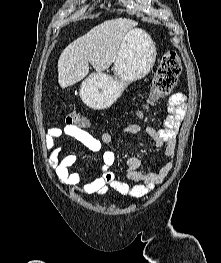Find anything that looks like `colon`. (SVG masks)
I'll list each match as a JSON object with an SVG mask.
<instances>
[{"instance_id": "5ec220e1", "label": "colon", "mask_w": 221, "mask_h": 263, "mask_svg": "<svg viewBox=\"0 0 221 263\" xmlns=\"http://www.w3.org/2000/svg\"><path fill=\"white\" fill-rule=\"evenodd\" d=\"M181 72V62L175 51L166 52L157 69L149 96L148 103H153L168 95L174 86ZM66 123L70 127H85L89 123L77 110H71L66 115Z\"/></svg>"}]
</instances>
